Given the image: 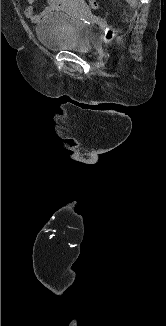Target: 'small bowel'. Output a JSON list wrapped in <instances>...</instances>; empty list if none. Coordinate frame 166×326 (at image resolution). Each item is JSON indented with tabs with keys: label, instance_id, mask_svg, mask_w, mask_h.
<instances>
[{
	"label": "small bowel",
	"instance_id": "obj_1",
	"mask_svg": "<svg viewBox=\"0 0 166 326\" xmlns=\"http://www.w3.org/2000/svg\"><path fill=\"white\" fill-rule=\"evenodd\" d=\"M27 6L24 10V14L30 20L36 22L38 21L42 15L47 14L51 11L55 10H63L68 9L71 5L74 4L75 0H45L47 6L41 12H36L34 8V4L36 0H26Z\"/></svg>",
	"mask_w": 166,
	"mask_h": 326
}]
</instances>
